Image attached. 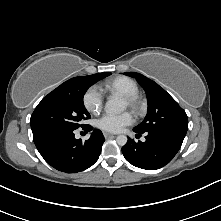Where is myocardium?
<instances>
[{
	"label": "myocardium",
	"mask_w": 221,
	"mask_h": 221,
	"mask_svg": "<svg viewBox=\"0 0 221 221\" xmlns=\"http://www.w3.org/2000/svg\"><path fill=\"white\" fill-rule=\"evenodd\" d=\"M127 106L132 110L139 112L144 105V101L139 94L129 95L124 97Z\"/></svg>",
	"instance_id": "f54148a6"
}]
</instances>
